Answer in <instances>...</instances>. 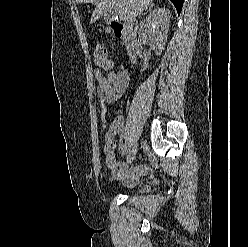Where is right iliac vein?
<instances>
[{"label":"right iliac vein","mask_w":248,"mask_h":247,"mask_svg":"<svg viewBox=\"0 0 248 247\" xmlns=\"http://www.w3.org/2000/svg\"><path fill=\"white\" fill-rule=\"evenodd\" d=\"M137 148H138V144H134L129 152H128V155H127V158H126V162L127 164H131L135 158V155H136V152H137Z\"/></svg>","instance_id":"right-iliac-vein-1"}]
</instances>
